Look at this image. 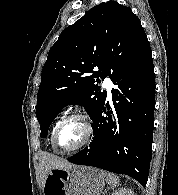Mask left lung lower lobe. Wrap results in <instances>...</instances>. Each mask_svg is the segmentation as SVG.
<instances>
[{"instance_id":"0a47b994","label":"left lung lower lobe","mask_w":178,"mask_h":195,"mask_svg":"<svg viewBox=\"0 0 178 195\" xmlns=\"http://www.w3.org/2000/svg\"><path fill=\"white\" fill-rule=\"evenodd\" d=\"M113 83L117 86L112 90L113 110L104 103L93 120V140L68 161L129 175L144 186L149 175L154 126L152 52Z\"/></svg>"}]
</instances>
